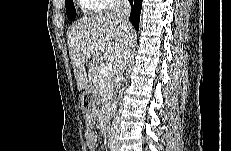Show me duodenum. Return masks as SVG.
I'll list each match as a JSON object with an SVG mask.
<instances>
[{
  "mask_svg": "<svg viewBox=\"0 0 231 151\" xmlns=\"http://www.w3.org/2000/svg\"><path fill=\"white\" fill-rule=\"evenodd\" d=\"M108 118H109V104L108 102L105 103L103 112H102V126L106 127L108 123Z\"/></svg>",
  "mask_w": 231,
  "mask_h": 151,
  "instance_id": "1",
  "label": "duodenum"
}]
</instances>
